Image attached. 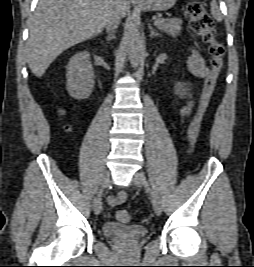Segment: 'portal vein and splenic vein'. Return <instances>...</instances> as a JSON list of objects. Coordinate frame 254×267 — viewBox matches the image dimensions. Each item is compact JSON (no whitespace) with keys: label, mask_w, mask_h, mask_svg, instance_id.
<instances>
[{"label":"portal vein and splenic vein","mask_w":254,"mask_h":267,"mask_svg":"<svg viewBox=\"0 0 254 267\" xmlns=\"http://www.w3.org/2000/svg\"><path fill=\"white\" fill-rule=\"evenodd\" d=\"M163 22H165V19L164 18H159V19H157V20L154 21V25L155 26H158V25H160Z\"/></svg>","instance_id":"18ae733b"}]
</instances>
